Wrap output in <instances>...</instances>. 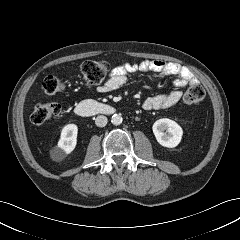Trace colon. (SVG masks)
<instances>
[{
	"label": "colon",
	"instance_id": "colon-1",
	"mask_svg": "<svg viewBox=\"0 0 240 240\" xmlns=\"http://www.w3.org/2000/svg\"><path fill=\"white\" fill-rule=\"evenodd\" d=\"M109 71V65L106 62L86 61L82 64L80 74L82 81L86 87H94L99 85ZM64 85L62 80L56 75H48L43 81V89L46 94L52 95L60 92ZM205 97V90L200 84L191 85L184 94V102L189 105L200 104ZM61 112V106L55 102L38 103L35 105L31 121L40 125L54 117L58 116Z\"/></svg>",
	"mask_w": 240,
	"mask_h": 240
}]
</instances>
